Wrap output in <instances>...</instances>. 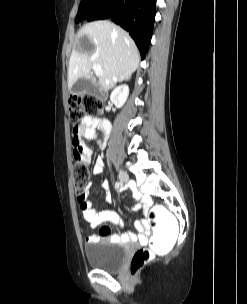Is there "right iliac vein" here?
<instances>
[{"mask_svg":"<svg viewBox=\"0 0 247 304\" xmlns=\"http://www.w3.org/2000/svg\"><path fill=\"white\" fill-rule=\"evenodd\" d=\"M119 180L122 184H126L129 181V176L126 172L120 170L118 173Z\"/></svg>","mask_w":247,"mask_h":304,"instance_id":"right-iliac-vein-1","label":"right iliac vein"}]
</instances>
